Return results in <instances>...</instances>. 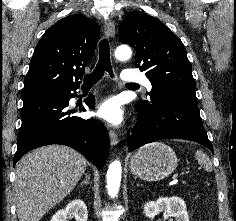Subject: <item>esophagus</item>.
<instances>
[{"label": "esophagus", "mask_w": 236, "mask_h": 221, "mask_svg": "<svg viewBox=\"0 0 236 221\" xmlns=\"http://www.w3.org/2000/svg\"><path fill=\"white\" fill-rule=\"evenodd\" d=\"M104 30H105V34L108 37H111V38L114 37V35H115V24L111 19H107L105 21ZM109 138H110L111 146H116L119 143L118 134L115 131H113V130L109 131Z\"/></svg>", "instance_id": "34e87169"}]
</instances>
